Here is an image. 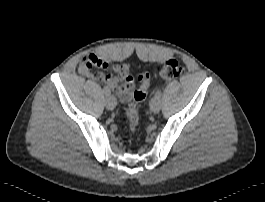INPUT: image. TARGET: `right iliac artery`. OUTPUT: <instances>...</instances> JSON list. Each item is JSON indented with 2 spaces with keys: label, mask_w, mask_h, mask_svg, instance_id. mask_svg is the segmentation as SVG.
<instances>
[{
  "label": "right iliac artery",
  "mask_w": 265,
  "mask_h": 202,
  "mask_svg": "<svg viewBox=\"0 0 265 202\" xmlns=\"http://www.w3.org/2000/svg\"><path fill=\"white\" fill-rule=\"evenodd\" d=\"M103 92H104L105 95H109L110 94V91H109V89L106 86L103 87Z\"/></svg>",
  "instance_id": "obj_1"
}]
</instances>
